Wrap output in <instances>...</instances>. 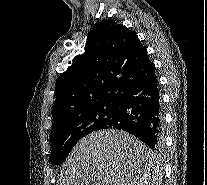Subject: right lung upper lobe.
<instances>
[{"mask_svg":"<svg viewBox=\"0 0 207 185\" xmlns=\"http://www.w3.org/2000/svg\"><path fill=\"white\" fill-rule=\"evenodd\" d=\"M155 74L154 64L136 34L114 20L90 32L85 53L77 55L56 84L53 126L71 116L117 103L132 83Z\"/></svg>","mask_w":207,"mask_h":185,"instance_id":"cb5924a9","label":"right lung upper lobe"}]
</instances>
